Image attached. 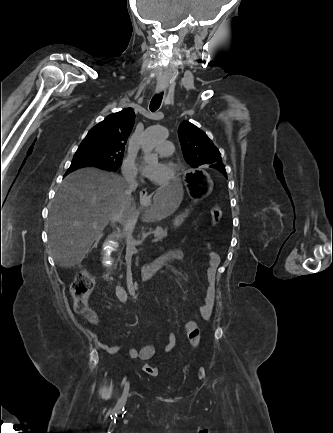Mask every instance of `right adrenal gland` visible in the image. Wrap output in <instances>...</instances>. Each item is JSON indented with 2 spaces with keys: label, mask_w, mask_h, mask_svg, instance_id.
I'll return each mask as SVG.
<instances>
[{
  "label": "right adrenal gland",
  "mask_w": 333,
  "mask_h": 433,
  "mask_svg": "<svg viewBox=\"0 0 333 433\" xmlns=\"http://www.w3.org/2000/svg\"><path fill=\"white\" fill-rule=\"evenodd\" d=\"M98 242H95L94 245L92 246V248L90 249V252L93 250V248L97 247Z\"/></svg>",
  "instance_id": "obj_1"
}]
</instances>
